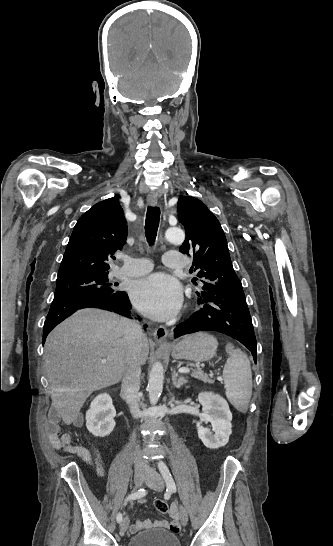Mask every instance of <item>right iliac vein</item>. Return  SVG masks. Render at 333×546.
Returning <instances> with one entry per match:
<instances>
[{
  "label": "right iliac vein",
  "instance_id": "obj_1",
  "mask_svg": "<svg viewBox=\"0 0 333 546\" xmlns=\"http://www.w3.org/2000/svg\"><path fill=\"white\" fill-rule=\"evenodd\" d=\"M145 480H146V473L142 470H137L134 474L135 486L140 487ZM128 526H129V519L126 516L120 524V528H119L120 533L124 534L127 531Z\"/></svg>",
  "mask_w": 333,
  "mask_h": 546
}]
</instances>
